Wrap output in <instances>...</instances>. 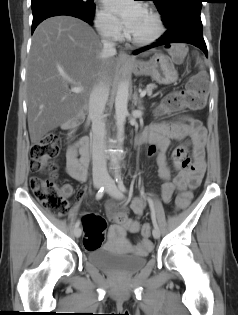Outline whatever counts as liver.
<instances>
[{"instance_id": "6515ba94", "label": "liver", "mask_w": 238, "mask_h": 315, "mask_svg": "<svg viewBox=\"0 0 238 315\" xmlns=\"http://www.w3.org/2000/svg\"><path fill=\"white\" fill-rule=\"evenodd\" d=\"M118 67L114 56L103 58L98 36L84 21L71 16L43 21L32 38L26 75L32 144L58 126L83 119L94 86L103 77L111 86ZM69 87L83 91L75 93Z\"/></svg>"}]
</instances>
